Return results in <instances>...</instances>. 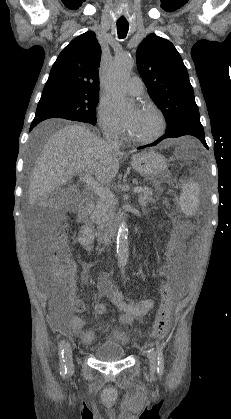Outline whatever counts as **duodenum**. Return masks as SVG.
<instances>
[{
	"label": "duodenum",
	"mask_w": 231,
	"mask_h": 419,
	"mask_svg": "<svg viewBox=\"0 0 231 419\" xmlns=\"http://www.w3.org/2000/svg\"><path fill=\"white\" fill-rule=\"evenodd\" d=\"M92 208V199L90 197H85L81 204L79 205L77 211V221L85 228L92 230L95 228L96 235L98 236L99 240L105 241L111 237H113L122 223L125 220L124 215H117L112 220L105 224L95 225L94 222L91 220L90 211Z\"/></svg>",
	"instance_id": "obj_1"
}]
</instances>
